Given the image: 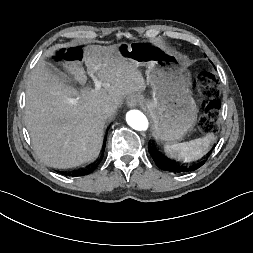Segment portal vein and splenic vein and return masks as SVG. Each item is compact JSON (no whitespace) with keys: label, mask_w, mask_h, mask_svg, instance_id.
<instances>
[{"label":"portal vein and splenic vein","mask_w":253,"mask_h":253,"mask_svg":"<svg viewBox=\"0 0 253 253\" xmlns=\"http://www.w3.org/2000/svg\"><path fill=\"white\" fill-rule=\"evenodd\" d=\"M89 76L92 78V80L94 81L95 84V91H99L102 87V82L100 80H98V78L94 75L93 72H88Z\"/></svg>","instance_id":"1"}]
</instances>
